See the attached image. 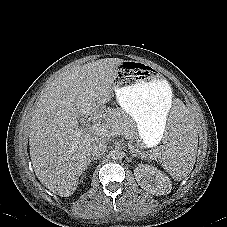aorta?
<instances>
[{
	"label": "aorta",
	"instance_id": "1",
	"mask_svg": "<svg viewBox=\"0 0 227 227\" xmlns=\"http://www.w3.org/2000/svg\"><path fill=\"white\" fill-rule=\"evenodd\" d=\"M110 156L113 160H118V159L122 158V152L119 149H113L110 152Z\"/></svg>",
	"mask_w": 227,
	"mask_h": 227
}]
</instances>
